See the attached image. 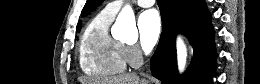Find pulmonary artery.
Returning <instances> with one entry per match:
<instances>
[{
	"instance_id": "1",
	"label": "pulmonary artery",
	"mask_w": 260,
	"mask_h": 84,
	"mask_svg": "<svg viewBox=\"0 0 260 84\" xmlns=\"http://www.w3.org/2000/svg\"><path fill=\"white\" fill-rule=\"evenodd\" d=\"M134 2L141 7H150L155 3L154 0H138ZM126 3V1L110 2L106 5L104 10L109 14L116 15L126 5Z\"/></svg>"
}]
</instances>
